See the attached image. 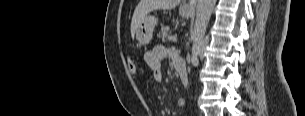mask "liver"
I'll return each mask as SVG.
<instances>
[{
    "mask_svg": "<svg viewBox=\"0 0 305 116\" xmlns=\"http://www.w3.org/2000/svg\"><path fill=\"white\" fill-rule=\"evenodd\" d=\"M180 0H140L139 4L135 8L132 21H131V35L134 37L139 25L148 13L154 10H171L174 9Z\"/></svg>",
    "mask_w": 305,
    "mask_h": 116,
    "instance_id": "6515ba94",
    "label": "liver"
}]
</instances>
